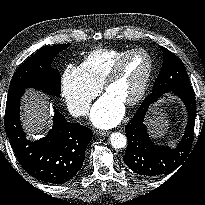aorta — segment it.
<instances>
[{
    "label": "aorta",
    "mask_w": 205,
    "mask_h": 205,
    "mask_svg": "<svg viewBox=\"0 0 205 205\" xmlns=\"http://www.w3.org/2000/svg\"><path fill=\"white\" fill-rule=\"evenodd\" d=\"M111 146L115 149L125 148L127 145L126 137L120 132H114L110 136Z\"/></svg>",
    "instance_id": "aorta-1"
}]
</instances>
